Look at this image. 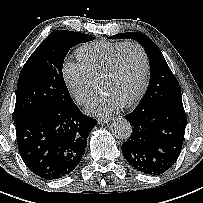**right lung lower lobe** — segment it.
I'll list each match as a JSON object with an SVG mask.
<instances>
[{
    "label": "right lung lower lobe",
    "instance_id": "98d812e1",
    "mask_svg": "<svg viewBox=\"0 0 203 203\" xmlns=\"http://www.w3.org/2000/svg\"><path fill=\"white\" fill-rule=\"evenodd\" d=\"M96 120L74 102L32 114L15 123L20 155L28 169L46 179L71 173L85 153Z\"/></svg>",
    "mask_w": 203,
    "mask_h": 203
}]
</instances>
